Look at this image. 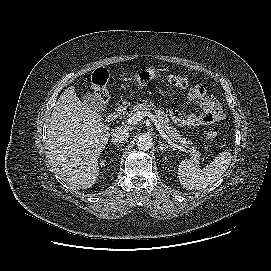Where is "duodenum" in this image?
Segmentation results:
<instances>
[{"mask_svg": "<svg viewBox=\"0 0 271 271\" xmlns=\"http://www.w3.org/2000/svg\"><path fill=\"white\" fill-rule=\"evenodd\" d=\"M126 109V105L125 104H120L118 105L111 113L110 115L107 117V121L111 122L116 120L117 118H119L122 113L125 111Z\"/></svg>", "mask_w": 271, "mask_h": 271, "instance_id": "duodenum-1", "label": "duodenum"}]
</instances>
